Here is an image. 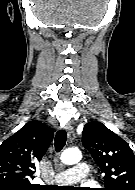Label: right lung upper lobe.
<instances>
[{"label":"right lung upper lobe","instance_id":"1","mask_svg":"<svg viewBox=\"0 0 135 190\" xmlns=\"http://www.w3.org/2000/svg\"><path fill=\"white\" fill-rule=\"evenodd\" d=\"M53 139V130L30 121L0 145V186L38 187L31 184L35 162L41 160Z\"/></svg>","mask_w":135,"mask_h":190}]
</instances>
